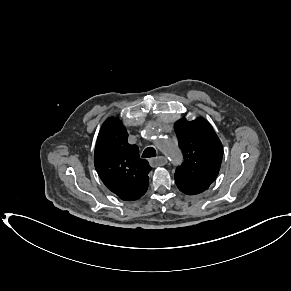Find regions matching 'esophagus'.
I'll list each match as a JSON object with an SVG mask.
<instances>
[{"instance_id":"34e87169","label":"esophagus","mask_w":291,"mask_h":291,"mask_svg":"<svg viewBox=\"0 0 291 291\" xmlns=\"http://www.w3.org/2000/svg\"><path fill=\"white\" fill-rule=\"evenodd\" d=\"M167 163V159L164 156H158L150 159V164L153 167L164 166Z\"/></svg>"}]
</instances>
